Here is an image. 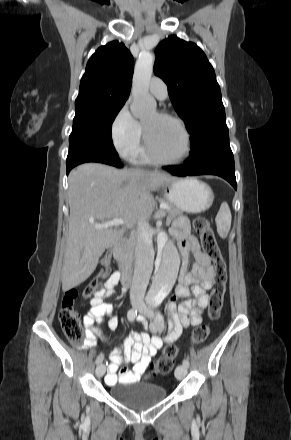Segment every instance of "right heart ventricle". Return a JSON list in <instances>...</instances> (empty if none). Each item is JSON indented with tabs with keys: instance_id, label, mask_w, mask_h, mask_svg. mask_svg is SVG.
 <instances>
[{
	"instance_id": "1",
	"label": "right heart ventricle",
	"mask_w": 291,
	"mask_h": 440,
	"mask_svg": "<svg viewBox=\"0 0 291 440\" xmlns=\"http://www.w3.org/2000/svg\"><path fill=\"white\" fill-rule=\"evenodd\" d=\"M131 159L140 165H149L153 163V160L148 156L146 150L143 147H139L138 151L131 157Z\"/></svg>"
}]
</instances>
